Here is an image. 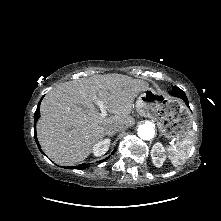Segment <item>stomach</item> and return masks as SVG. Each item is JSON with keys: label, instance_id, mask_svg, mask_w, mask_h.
Masks as SVG:
<instances>
[{"label": "stomach", "instance_id": "1", "mask_svg": "<svg viewBox=\"0 0 221 221\" xmlns=\"http://www.w3.org/2000/svg\"><path fill=\"white\" fill-rule=\"evenodd\" d=\"M136 110L139 115L152 118L167 139H184L192 126L186 106L151 87L137 95Z\"/></svg>", "mask_w": 221, "mask_h": 221}]
</instances>
